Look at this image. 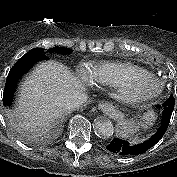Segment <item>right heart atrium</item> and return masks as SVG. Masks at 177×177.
I'll list each match as a JSON object with an SVG mask.
<instances>
[{
  "instance_id": "right-heart-atrium-1",
  "label": "right heart atrium",
  "mask_w": 177,
  "mask_h": 177,
  "mask_svg": "<svg viewBox=\"0 0 177 177\" xmlns=\"http://www.w3.org/2000/svg\"><path fill=\"white\" fill-rule=\"evenodd\" d=\"M79 75L86 81L91 80V71L86 66H80L78 69Z\"/></svg>"
}]
</instances>
